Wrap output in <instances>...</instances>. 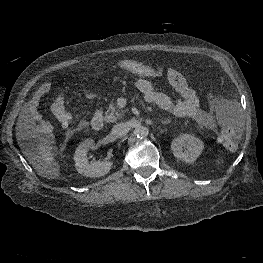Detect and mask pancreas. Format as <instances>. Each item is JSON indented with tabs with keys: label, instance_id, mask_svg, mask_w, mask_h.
Wrapping results in <instances>:
<instances>
[{
	"label": "pancreas",
	"instance_id": "obj_1",
	"mask_svg": "<svg viewBox=\"0 0 263 263\" xmlns=\"http://www.w3.org/2000/svg\"><path fill=\"white\" fill-rule=\"evenodd\" d=\"M122 118L121 111L115 106L114 102H110L107 111L105 112L104 120L106 122H115Z\"/></svg>",
	"mask_w": 263,
	"mask_h": 263
}]
</instances>
